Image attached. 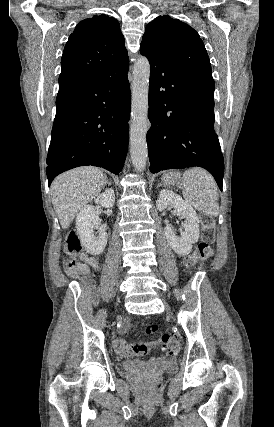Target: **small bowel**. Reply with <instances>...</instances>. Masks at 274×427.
<instances>
[{"label":"small bowel","instance_id":"obj_1","mask_svg":"<svg viewBox=\"0 0 274 427\" xmlns=\"http://www.w3.org/2000/svg\"><path fill=\"white\" fill-rule=\"evenodd\" d=\"M80 259L82 263H79L80 274L84 277L90 276V269L98 272L100 270V263L96 258L89 255L87 252H82L80 254Z\"/></svg>","mask_w":274,"mask_h":427}]
</instances>
